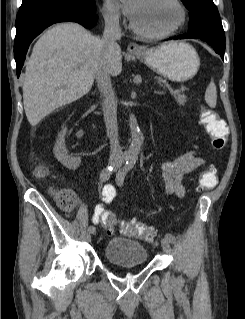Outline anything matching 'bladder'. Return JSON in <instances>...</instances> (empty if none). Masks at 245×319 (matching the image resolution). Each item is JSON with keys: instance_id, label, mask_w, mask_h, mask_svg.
Segmentation results:
<instances>
[{"instance_id": "obj_1", "label": "bladder", "mask_w": 245, "mask_h": 319, "mask_svg": "<svg viewBox=\"0 0 245 319\" xmlns=\"http://www.w3.org/2000/svg\"><path fill=\"white\" fill-rule=\"evenodd\" d=\"M106 261L117 267H134L148 261V252L141 243L125 237L110 239L103 249Z\"/></svg>"}]
</instances>
